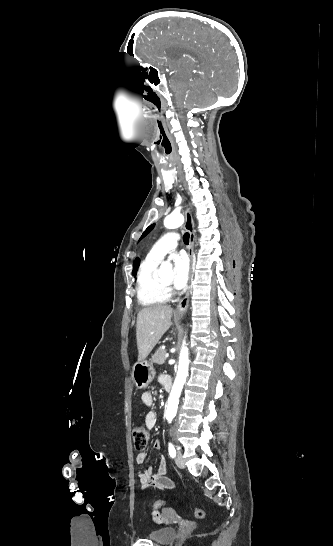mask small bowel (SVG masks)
<instances>
[{"instance_id":"c3829d8e","label":"small bowel","mask_w":333,"mask_h":546,"mask_svg":"<svg viewBox=\"0 0 333 546\" xmlns=\"http://www.w3.org/2000/svg\"><path fill=\"white\" fill-rule=\"evenodd\" d=\"M167 379L166 375H160L159 381L162 385H164L165 381ZM141 400L145 406L151 407L154 404V397L151 392L146 391L143 392L141 395ZM157 423V416L154 411H149L145 416V426L148 429H152L155 427ZM162 447V440L156 439L154 442V448L159 450ZM147 459L146 452H139L136 455V463L137 464H144ZM167 469V462L164 458H161L157 470H154L152 467H147L144 471H141L138 473V480L140 485L143 488L154 486L159 489L163 490H173L176 487L175 482L165 476V471ZM169 510L165 509L163 512H160L158 510H153L151 512V515L153 519L157 522L163 521L165 517L168 515Z\"/></svg>"}]
</instances>
